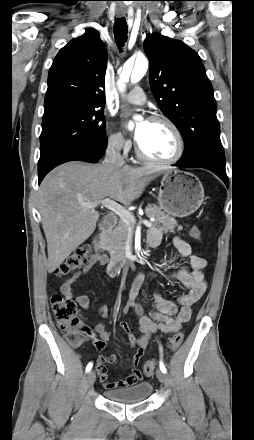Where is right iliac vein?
Segmentation results:
<instances>
[{
  "label": "right iliac vein",
  "mask_w": 254,
  "mask_h": 440,
  "mask_svg": "<svg viewBox=\"0 0 254 440\" xmlns=\"http://www.w3.org/2000/svg\"><path fill=\"white\" fill-rule=\"evenodd\" d=\"M95 380H96V374H95V372H94L93 370H91V371L88 373L87 377H86L85 387H86L87 389L90 388V387H92L93 384H94V382H95Z\"/></svg>",
  "instance_id": "1"
}]
</instances>
